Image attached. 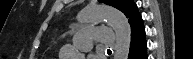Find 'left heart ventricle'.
Here are the masks:
<instances>
[{"label":"left heart ventricle","instance_id":"obj_1","mask_svg":"<svg viewBox=\"0 0 193 59\" xmlns=\"http://www.w3.org/2000/svg\"><path fill=\"white\" fill-rule=\"evenodd\" d=\"M76 50L80 53L81 59H83V58H84V55H86L87 52L89 51L88 48H78V49H76Z\"/></svg>","mask_w":193,"mask_h":59}]
</instances>
